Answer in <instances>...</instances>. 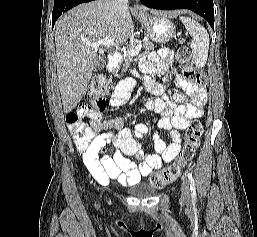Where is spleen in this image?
<instances>
[{"instance_id": "spleen-1", "label": "spleen", "mask_w": 257, "mask_h": 237, "mask_svg": "<svg viewBox=\"0 0 257 237\" xmlns=\"http://www.w3.org/2000/svg\"><path fill=\"white\" fill-rule=\"evenodd\" d=\"M180 19L193 38L191 42L193 61L197 67L202 68L207 62L209 35L206 29L193 19L188 17H180Z\"/></svg>"}]
</instances>
